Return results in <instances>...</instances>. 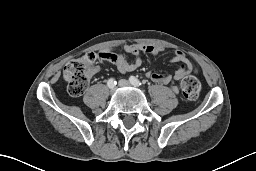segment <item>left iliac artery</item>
Wrapping results in <instances>:
<instances>
[{"label": "left iliac artery", "mask_w": 256, "mask_h": 171, "mask_svg": "<svg viewBox=\"0 0 256 171\" xmlns=\"http://www.w3.org/2000/svg\"><path fill=\"white\" fill-rule=\"evenodd\" d=\"M129 81H130V83H131L132 85L137 86V87H139V86L142 85V83H141L136 77H134V76H131V77L129 78Z\"/></svg>", "instance_id": "1"}]
</instances>
